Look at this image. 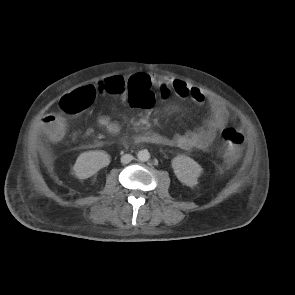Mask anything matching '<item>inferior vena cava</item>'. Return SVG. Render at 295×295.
I'll list each match as a JSON object with an SVG mask.
<instances>
[{
	"mask_svg": "<svg viewBox=\"0 0 295 295\" xmlns=\"http://www.w3.org/2000/svg\"><path fill=\"white\" fill-rule=\"evenodd\" d=\"M133 160V156L131 154H125L121 157V163L127 164Z\"/></svg>",
	"mask_w": 295,
	"mask_h": 295,
	"instance_id": "602c4592",
	"label": "inferior vena cava"
}]
</instances>
